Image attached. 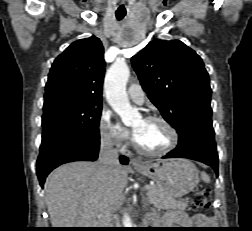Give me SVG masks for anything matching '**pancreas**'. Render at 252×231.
<instances>
[{
  "label": "pancreas",
  "instance_id": "pancreas-1",
  "mask_svg": "<svg viewBox=\"0 0 252 231\" xmlns=\"http://www.w3.org/2000/svg\"><path fill=\"white\" fill-rule=\"evenodd\" d=\"M148 199L151 204L157 208H177L185 210L187 208L188 199L178 201L175 199H165L156 185L149 186Z\"/></svg>",
  "mask_w": 252,
  "mask_h": 231
}]
</instances>
